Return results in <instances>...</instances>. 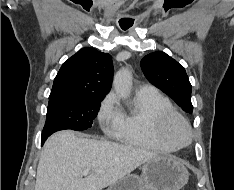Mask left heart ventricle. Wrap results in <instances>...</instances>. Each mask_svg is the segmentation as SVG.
Returning a JSON list of instances; mask_svg holds the SVG:
<instances>
[{"instance_id": "left-heart-ventricle-1", "label": "left heart ventricle", "mask_w": 234, "mask_h": 190, "mask_svg": "<svg viewBox=\"0 0 234 190\" xmlns=\"http://www.w3.org/2000/svg\"><path fill=\"white\" fill-rule=\"evenodd\" d=\"M171 137L177 142H183L186 138L185 131L181 125L175 124L170 131Z\"/></svg>"}]
</instances>
